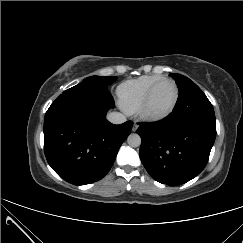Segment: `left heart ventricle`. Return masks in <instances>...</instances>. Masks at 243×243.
Masks as SVG:
<instances>
[{
    "mask_svg": "<svg viewBox=\"0 0 243 243\" xmlns=\"http://www.w3.org/2000/svg\"><path fill=\"white\" fill-rule=\"evenodd\" d=\"M175 97V87L171 82L161 84L154 92L149 104L153 113H162L172 104Z\"/></svg>",
    "mask_w": 243,
    "mask_h": 243,
    "instance_id": "obj_1",
    "label": "left heart ventricle"
}]
</instances>
